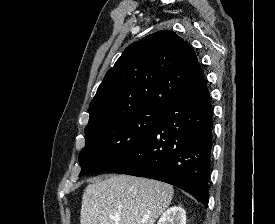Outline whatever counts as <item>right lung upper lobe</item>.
Instances as JSON below:
<instances>
[{
  "instance_id": "1",
  "label": "right lung upper lobe",
  "mask_w": 275,
  "mask_h": 224,
  "mask_svg": "<svg viewBox=\"0 0 275 224\" xmlns=\"http://www.w3.org/2000/svg\"><path fill=\"white\" fill-rule=\"evenodd\" d=\"M202 76L193 48L181 37L169 30L148 35L128 46L106 73L86 128L142 108L166 109Z\"/></svg>"
}]
</instances>
